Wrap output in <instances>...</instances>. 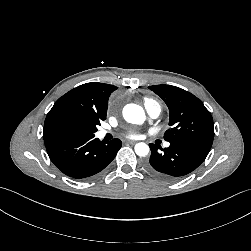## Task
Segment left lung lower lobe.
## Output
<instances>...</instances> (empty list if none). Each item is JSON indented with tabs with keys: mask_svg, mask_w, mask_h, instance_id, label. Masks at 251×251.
<instances>
[{
	"mask_svg": "<svg viewBox=\"0 0 251 251\" xmlns=\"http://www.w3.org/2000/svg\"><path fill=\"white\" fill-rule=\"evenodd\" d=\"M149 146L151 156L146 168L152 175L164 181L178 180L195 170L205 160L211 148L188 141L170 142V146L165 149L152 143Z\"/></svg>",
	"mask_w": 251,
	"mask_h": 251,
	"instance_id": "left-lung-lower-lobe-1",
	"label": "left lung lower lobe"
}]
</instances>
